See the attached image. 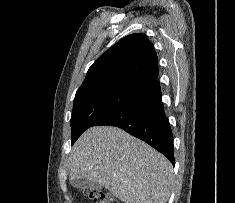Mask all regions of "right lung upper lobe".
Listing matches in <instances>:
<instances>
[{
    "instance_id": "obj_1",
    "label": "right lung upper lobe",
    "mask_w": 235,
    "mask_h": 203,
    "mask_svg": "<svg viewBox=\"0 0 235 203\" xmlns=\"http://www.w3.org/2000/svg\"><path fill=\"white\" fill-rule=\"evenodd\" d=\"M158 58L152 43L141 33L128 35L89 68L80 89L106 82H130L148 88L158 83Z\"/></svg>"
}]
</instances>
